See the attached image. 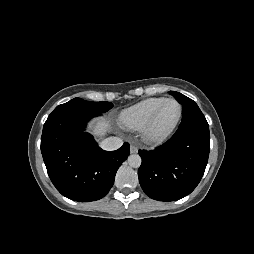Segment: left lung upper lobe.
I'll use <instances>...</instances> for the list:
<instances>
[{
  "label": "left lung upper lobe",
  "mask_w": 254,
  "mask_h": 254,
  "mask_svg": "<svg viewBox=\"0 0 254 254\" xmlns=\"http://www.w3.org/2000/svg\"><path fill=\"white\" fill-rule=\"evenodd\" d=\"M170 93L179 101L183 109V117L179 127L192 123H207L206 118L199 109L198 105L185 95L170 91Z\"/></svg>",
  "instance_id": "1"
}]
</instances>
